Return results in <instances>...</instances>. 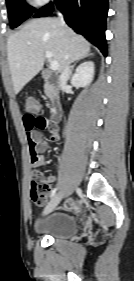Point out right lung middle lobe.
I'll return each mask as SVG.
<instances>
[{"label": "right lung middle lobe", "mask_w": 134, "mask_h": 281, "mask_svg": "<svg viewBox=\"0 0 134 281\" xmlns=\"http://www.w3.org/2000/svg\"><path fill=\"white\" fill-rule=\"evenodd\" d=\"M11 27L15 28L33 13L34 8L28 6L24 0H6Z\"/></svg>", "instance_id": "right-lung-middle-lobe-1"}]
</instances>
